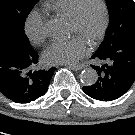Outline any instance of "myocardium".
Listing matches in <instances>:
<instances>
[{"label":"myocardium","mask_w":135,"mask_h":135,"mask_svg":"<svg viewBox=\"0 0 135 135\" xmlns=\"http://www.w3.org/2000/svg\"><path fill=\"white\" fill-rule=\"evenodd\" d=\"M91 1H96L100 5L101 11H102L101 25H100L98 31L89 40V43L91 45H95L99 41H101L102 38L105 36L107 29L109 27V23H110V11H109V6H108L106 0H81L78 3V5L76 6V8H75L73 14L71 15V17L69 18V20L76 27H79L81 24L83 9L86 6V4Z\"/></svg>","instance_id":"1"}]
</instances>
